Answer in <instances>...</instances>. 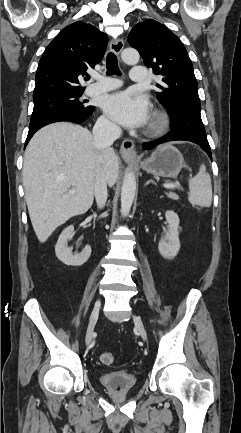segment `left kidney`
I'll list each match as a JSON object with an SVG mask.
<instances>
[{"mask_svg":"<svg viewBox=\"0 0 241 433\" xmlns=\"http://www.w3.org/2000/svg\"><path fill=\"white\" fill-rule=\"evenodd\" d=\"M165 217L168 223V231L161 239L158 250L165 259H173L179 252V217L174 211H166Z\"/></svg>","mask_w":241,"mask_h":433,"instance_id":"obj_1","label":"left kidney"}]
</instances>
